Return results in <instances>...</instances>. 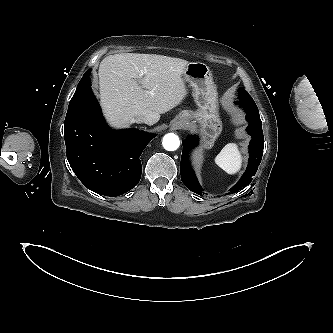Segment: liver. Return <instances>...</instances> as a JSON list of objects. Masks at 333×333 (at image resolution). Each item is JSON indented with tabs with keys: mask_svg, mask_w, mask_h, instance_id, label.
Listing matches in <instances>:
<instances>
[{
	"mask_svg": "<svg viewBox=\"0 0 333 333\" xmlns=\"http://www.w3.org/2000/svg\"><path fill=\"white\" fill-rule=\"evenodd\" d=\"M188 61L155 54L122 53L104 58L99 66L100 101L109 123L126 127L138 116L157 123L160 114L187 95L183 73ZM146 72L143 77L139 74Z\"/></svg>",
	"mask_w": 333,
	"mask_h": 333,
	"instance_id": "obj_1",
	"label": "liver"
}]
</instances>
